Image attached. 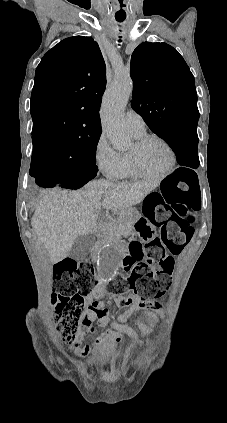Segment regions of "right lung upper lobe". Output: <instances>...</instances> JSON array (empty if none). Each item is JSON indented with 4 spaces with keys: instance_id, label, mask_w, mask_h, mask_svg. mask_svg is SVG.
I'll return each mask as SVG.
<instances>
[{
    "instance_id": "cb5924a9",
    "label": "right lung upper lobe",
    "mask_w": 227,
    "mask_h": 423,
    "mask_svg": "<svg viewBox=\"0 0 227 423\" xmlns=\"http://www.w3.org/2000/svg\"><path fill=\"white\" fill-rule=\"evenodd\" d=\"M105 86L106 66L91 37H69L49 50L36 69L31 95L33 150L100 134Z\"/></svg>"
}]
</instances>
